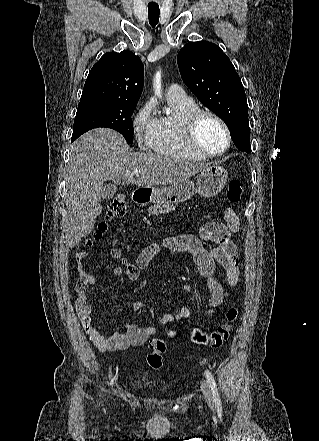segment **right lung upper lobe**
Instances as JSON below:
<instances>
[{"label": "right lung upper lobe", "instance_id": "obj_1", "mask_svg": "<svg viewBox=\"0 0 319 441\" xmlns=\"http://www.w3.org/2000/svg\"><path fill=\"white\" fill-rule=\"evenodd\" d=\"M144 85V67L138 56L128 50L104 54L92 67L81 100L136 103Z\"/></svg>", "mask_w": 319, "mask_h": 441}]
</instances>
